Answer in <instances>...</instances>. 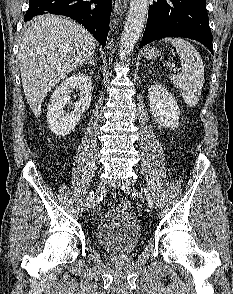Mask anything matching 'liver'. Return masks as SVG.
<instances>
[{"label": "liver", "instance_id": "liver-1", "mask_svg": "<svg viewBox=\"0 0 233 294\" xmlns=\"http://www.w3.org/2000/svg\"><path fill=\"white\" fill-rule=\"evenodd\" d=\"M95 48L94 37L68 18L46 14L31 21L20 44L19 66L25 97L36 117L52 88L89 60Z\"/></svg>", "mask_w": 233, "mask_h": 294}]
</instances>
